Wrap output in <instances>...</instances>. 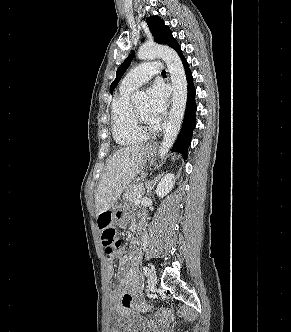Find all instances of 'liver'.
Masks as SVG:
<instances>
[{
    "instance_id": "6515ba94",
    "label": "liver",
    "mask_w": 291,
    "mask_h": 332,
    "mask_svg": "<svg viewBox=\"0 0 291 332\" xmlns=\"http://www.w3.org/2000/svg\"><path fill=\"white\" fill-rule=\"evenodd\" d=\"M146 149L144 145L121 148L107 162L95 193L96 216L111 209L124 189L139 174Z\"/></svg>"
}]
</instances>
